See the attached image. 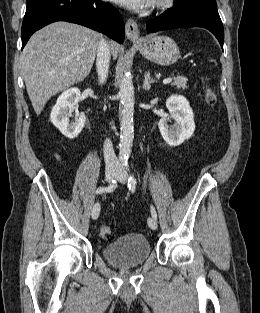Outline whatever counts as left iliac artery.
Segmentation results:
<instances>
[{
    "label": "left iliac artery",
    "instance_id": "obj_1",
    "mask_svg": "<svg viewBox=\"0 0 260 313\" xmlns=\"http://www.w3.org/2000/svg\"><path fill=\"white\" fill-rule=\"evenodd\" d=\"M126 170L129 171V166L126 165ZM128 187H129V190L131 192H135V189H136V178L134 177L133 174H130V177L128 178ZM151 215L152 217L157 220V213H156V210L153 206H151Z\"/></svg>",
    "mask_w": 260,
    "mask_h": 313
}]
</instances>
